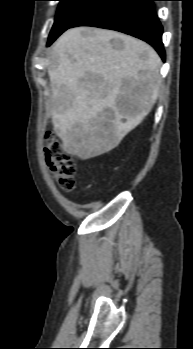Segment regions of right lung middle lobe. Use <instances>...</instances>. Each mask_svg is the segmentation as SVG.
<instances>
[{
	"instance_id": "obj_1",
	"label": "right lung middle lobe",
	"mask_w": 193,
	"mask_h": 349,
	"mask_svg": "<svg viewBox=\"0 0 193 349\" xmlns=\"http://www.w3.org/2000/svg\"><path fill=\"white\" fill-rule=\"evenodd\" d=\"M55 22L49 35L48 45L76 20L101 0H59Z\"/></svg>"
}]
</instances>
